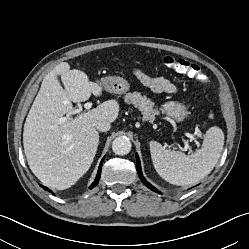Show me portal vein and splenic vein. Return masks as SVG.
I'll use <instances>...</instances> for the list:
<instances>
[{
	"label": "portal vein and splenic vein",
	"instance_id": "obj_1",
	"mask_svg": "<svg viewBox=\"0 0 249 249\" xmlns=\"http://www.w3.org/2000/svg\"><path fill=\"white\" fill-rule=\"evenodd\" d=\"M84 107L86 109H90L92 107V103L87 102ZM81 111H82V109H77V110L69 113L66 117L59 118V123H64L68 120H71V114H79ZM186 136L190 139V141H194V142H196V144L198 143L196 141V138L192 134L187 133ZM187 148H188V145L185 146L184 150H187Z\"/></svg>",
	"mask_w": 249,
	"mask_h": 249
}]
</instances>
